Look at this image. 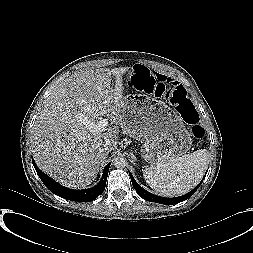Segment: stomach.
<instances>
[{
    "label": "stomach",
    "instance_id": "0dacf381",
    "mask_svg": "<svg viewBox=\"0 0 253 253\" xmlns=\"http://www.w3.org/2000/svg\"><path fill=\"white\" fill-rule=\"evenodd\" d=\"M122 125L143 143L142 158L156 164L185 154L192 145L183 119L160 100L144 95L124 97Z\"/></svg>",
    "mask_w": 253,
    "mask_h": 253
}]
</instances>
